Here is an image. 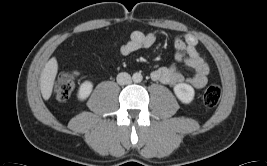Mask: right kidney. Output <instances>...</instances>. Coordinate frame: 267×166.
Returning <instances> with one entry per match:
<instances>
[{"instance_id": "obj_1", "label": "right kidney", "mask_w": 267, "mask_h": 166, "mask_svg": "<svg viewBox=\"0 0 267 166\" xmlns=\"http://www.w3.org/2000/svg\"><path fill=\"white\" fill-rule=\"evenodd\" d=\"M92 88H93L92 82L90 81L83 82L80 85L79 90H78V94H77L78 99L85 100L92 92Z\"/></svg>"}]
</instances>
